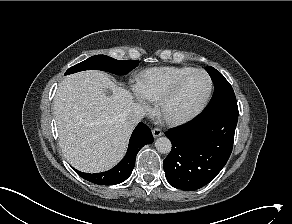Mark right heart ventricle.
Listing matches in <instances>:
<instances>
[{"label": "right heart ventricle", "mask_w": 292, "mask_h": 224, "mask_svg": "<svg viewBox=\"0 0 292 224\" xmlns=\"http://www.w3.org/2000/svg\"><path fill=\"white\" fill-rule=\"evenodd\" d=\"M190 66H166L144 70L137 78L138 92L149 101H158L185 74Z\"/></svg>", "instance_id": "e07e8e85"}]
</instances>
